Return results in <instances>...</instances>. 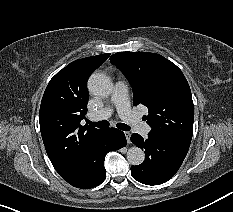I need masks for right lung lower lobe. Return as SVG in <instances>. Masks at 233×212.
<instances>
[{
  "mask_svg": "<svg viewBox=\"0 0 233 212\" xmlns=\"http://www.w3.org/2000/svg\"><path fill=\"white\" fill-rule=\"evenodd\" d=\"M127 144L125 135L116 128L103 129L88 154L85 162L63 179L72 186L82 189L93 188L106 178L104 159L112 150H118Z\"/></svg>",
  "mask_w": 233,
  "mask_h": 212,
  "instance_id": "obj_1",
  "label": "right lung lower lobe"
}]
</instances>
